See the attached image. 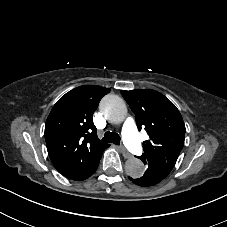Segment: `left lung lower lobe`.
Returning <instances> with one entry per match:
<instances>
[{
    "label": "left lung lower lobe",
    "instance_id": "left-lung-lower-lobe-1",
    "mask_svg": "<svg viewBox=\"0 0 227 227\" xmlns=\"http://www.w3.org/2000/svg\"><path fill=\"white\" fill-rule=\"evenodd\" d=\"M167 175L168 174H166L157 166L148 165V169L146 170L145 174L142 177L138 179H132L131 177H129V179L136 185L147 187V186H152L159 183Z\"/></svg>",
    "mask_w": 227,
    "mask_h": 227
}]
</instances>
